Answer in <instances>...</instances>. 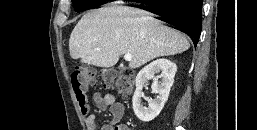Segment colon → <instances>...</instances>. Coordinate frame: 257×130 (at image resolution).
I'll list each match as a JSON object with an SVG mask.
<instances>
[{
  "instance_id": "obj_1",
  "label": "colon",
  "mask_w": 257,
  "mask_h": 130,
  "mask_svg": "<svg viewBox=\"0 0 257 130\" xmlns=\"http://www.w3.org/2000/svg\"><path fill=\"white\" fill-rule=\"evenodd\" d=\"M102 85L105 89L116 88L118 94L129 97L134 88L135 75L130 69L117 71L109 68L100 73ZM98 74L86 65L76 66L71 72V83L76 98L83 101L86 98V90L97 83Z\"/></svg>"
}]
</instances>
